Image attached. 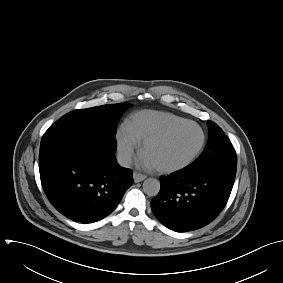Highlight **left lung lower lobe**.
<instances>
[{"label": "left lung lower lobe", "instance_id": "left-lung-lower-lobe-1", "mask_svg": "<svg viewBox=\"0 0 283 283\" xmlns=\"http://www.w3.org/2000/svg\"><path fill=\"white\" fill-rule=\"evenodd\" d=\"M236 173L191 170L187 167L161 177V188L151 201L156 218L176 232L197 230L212 222L230 196Z\"/></svg>", "mask_w": 283, "mask_h": 283}]
</instances>
